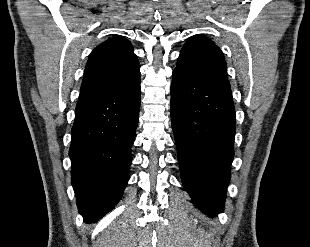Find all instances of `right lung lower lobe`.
<instances>
[{
    "mask_svg": "<svg viewBox=\"0 0 310 247\" xmlns=\"http://www.w3.org/2000/svg\"><path fill=\"white\" fill-rule=\"evenodd\" d=\"M139 84L79 96L69 156L77 206L85 222H95L110 211L128 182Z\"/></svg>",
    "mask_w": 310,
    "mask_h": 247,
    "instance_id": "98d812e1",
    "label": "right lung lower lobe"
}]
</instances>
